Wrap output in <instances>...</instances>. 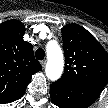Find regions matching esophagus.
I'll list each match as a JSON object with an SVG mask.
<instances>
[{"mask_svg":"<svg viewBox=\"0 0 108 108\" xmlns=\"http://www.w3.org/2000/svg\"><path fill=\"white\" fill-rule=\"evenodd\" d=\"M46 63H47L46 60L41 61V65H42L43 68H45Z\"/></svg>","mask_w":108,"mask_h":108,"instance_id":"esophagus-1","label":"esophagus"}]
</instances>
